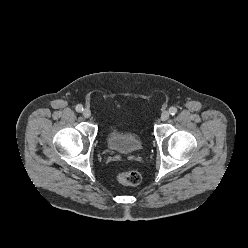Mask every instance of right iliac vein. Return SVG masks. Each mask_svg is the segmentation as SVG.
Masks as SVG:
<instances>
[{
    "label": "right iliac vein",
    "instance_id": "1",
    "mask_svg": "<svg viewBox=\"0 0 248 248\" xmlns=\"http://www.w3.org/2000/svg\"><path fill=\"white\" fill-rule=\"evenodd\" d=\"M83 116H84L85 118H90V116H91V111H90L89 109H84V111H83Z\"/></svg>",
    "mask_w": 248,
    "mask_h": 248
}]
</instances>
